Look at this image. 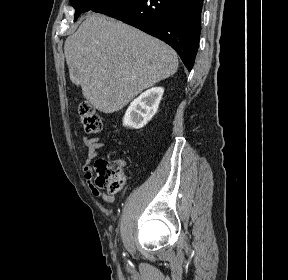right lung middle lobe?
I'll use <instances>...</instances> for the list:
<instances>
[{"mask_svg": "<svg viewBox=\"0 0 288 280\" xmlns=\"http://www.w3.org/2000/svg\"><path fill=\"white\" fill-rule=\"evenodd\" d=\"M108 1L110 0H70L71 5L75 8L74 21L77 20L81 13L92 10Z\"/></svg>", "mask_w": 288, "mask_h": 280, "instance_id": "right-lung-middle-lobe-1", "label": "right lung middle lobe"}]
</instances>
